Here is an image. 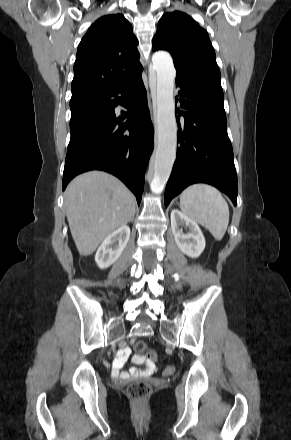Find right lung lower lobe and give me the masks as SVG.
I'll return each instance as SVG.
<instances>
[{
  "label": "right lung lower lobe",
  "mask_w": 291,
  "mask_h": 440,
  "mask_svg": "<svg viewBox=\"0 0 291 440\" xmlns=\"http://www.w3.org/2000/svg\"><path fill=\"white\" fill-rule=\"evenodd\" d=\"M118 104L128 109L120 117L114 111ZM70 109L71 138L63 190L76 175L103 170L122 180L140 204L144 175L154 146L141 73L111 90L72 96ZM125 118L128 121L121 123Z\"/></svg>",
  "instance_id": "right-lung-lower-lobe-1"
}]
</instances>
